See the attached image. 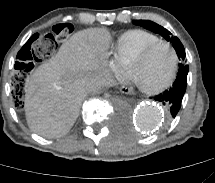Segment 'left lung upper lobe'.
<instances>
[{
	"mask_svg": "<svg viewBox=\"0 0 215 183\" xmlns=\"http://www.w3.org/2000/svg\"><path fill=\"white\" fill-rule=\"evenodd\" d=\"M133 23L136 25H140L155 33H158L162 37H164L167 41L172 42V45H173L174 49L176 50L178 58L182 62H184V64H182V63L180 64L179 71L182 69L188 70V65H185V56H186L185 50H184V47H183L181 41L177 37L172 36V34L167 29L163 28L162 26H160L152 21L135 20V21H133Z\"/></svg>",
	"mask_w": 215,
	"mask_h": 183,
	"instance_id": "left-lung-upper-lobe-1",
	"label": "left lung upper lobe"
}]
</instances>
